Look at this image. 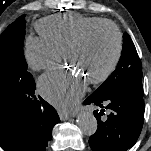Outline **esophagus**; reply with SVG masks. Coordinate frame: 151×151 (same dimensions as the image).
Instances as JSON below:
<instances>
[{
  "label": "esophagus",
  "mask_w": 151,
  "mask_h": 151,
  "mask_svg": "<svg viewBox=\"0 0 151 151\" xmlns=\"http://www.w3.org/2000/svg\"><path fill=\"white\" fill-rule=\"evenodd\" d=\"M59 117L62 121L69 119L72 116H75V113H65V112H59Z\"/></svg>",
  "instance_id": "1"
}]
</instances>
